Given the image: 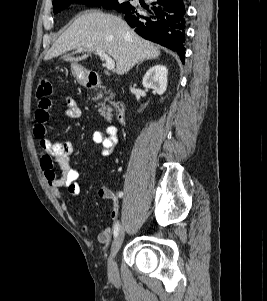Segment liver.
<instances>
[{"instance_id":"liver-1","label":"liver","mask_w":267,"mask_h":301,"mask_svg":"<svg viewBox=\"0 0 267 301\" xmlns=\"http://www.w3.org/2000/svg\"><path fill=\"white\" fill-rule=\"evenodd\" d=\"M80 48L85 52L81 57H72L67 53ZM97 50L113 57L118 75L127 73L145 59L160 55V49L154 43L137 35L121 17L88 11L80 15L54 42L44 60L63 55L65 61L77 65Z\"/></svg>"}]
</instances>
